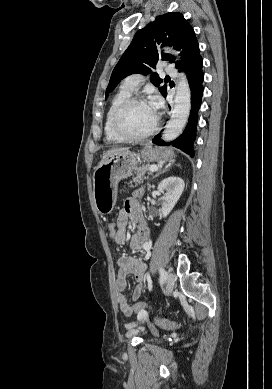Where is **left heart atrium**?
<instances>
[{
	"label": "left heart atrium",
	"mask_w": 272,
	"mask_h": 389,
	"mask_svg": "<svg viewBox=\"0 0 272 389\" xmlns=\"http://www.w3.org/2000/svg\"><path fill=\"white\" fill-rule=\"evenodd\" d=\"M149 106L152 109L153 113L156 115L157 110L160 108V102L158 99L154 98L151 100Z\"/></svg>",
	"instance_id": "1"
}]
</instances>
